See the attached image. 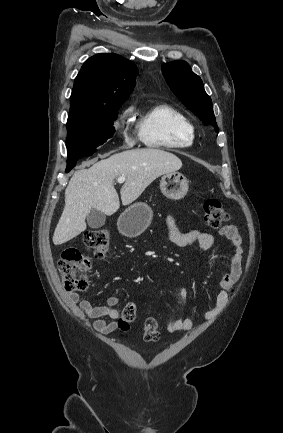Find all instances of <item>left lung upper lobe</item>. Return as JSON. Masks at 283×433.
Wrapping results in <instances>:
<instances>
[{
  "mask_svg": "<svg viewBox=\"0 0 283 433\" xmlns=\"http://www.w3.org/2000/svg\"><path fill=\"white\" fill-rule=\"evenodd\" d=\"M163 76L180 101L206 125L215 122L211 98L206 94L201 78L192 72L185 61H172L162 65Z\"/></svg>",
  "mask_w": 283,
  "mask_h": 433,
  "instance_id": "1",
  "label": "left lung upper lobe"
}]
</instances>
